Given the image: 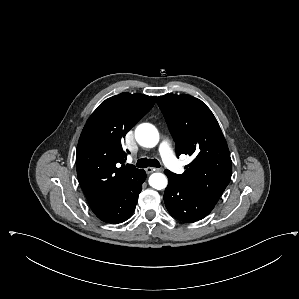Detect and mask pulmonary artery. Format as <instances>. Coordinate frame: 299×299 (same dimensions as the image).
<instances>
[{"label": "pulmonary artery", "mask_w": 299, "mask_h": 299, "mask_svg": "<svg viewBox=\"0 0 299 299\" xmlns=\"http://www.w3.org/2000/svg\"><path fill=\"white\" fill-rule=\"evenodd\" d=\"M159 153L164 164L175 174H180L183 170L181 163L177 160L170 143L163 140L159 145Z\"/></svg>", "instance_id": "e3ab8cb5"}]
</instances>
